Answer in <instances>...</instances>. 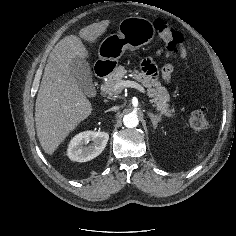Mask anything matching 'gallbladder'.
I'll return each instance as SVG.
<instances>
[{"label": "gallbladder", "instance_id": "bac80fb5", "mask_svg": "<svg viewBox=\"0 0 236 236\" xmlns=\"http://www.w3.org/2000/svg\"><path fill=\"white\" fill-rule=\"evenodd\" d=\"M70 71L80 89L87 96H94L95 87L92 82V71L88 61L80 57H75L70 65Z\"/></svg>", "mask_w": 236, "mask_h": 236}]
</instances>
